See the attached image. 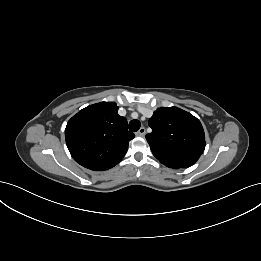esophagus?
<instances>
[{
    "label": "esophagus",
    "instance_id": "1",
    "mask_svg": "<svg viewBox=\"0 0 261 261\" xmlns=\"http://www.w3.org/2000/svg\"><path fill=\"white\" fill-rule=\"evenodd\" d=\"M145 133H146V129L144 127H141L136 134H137V136L143 137L145 135Z\"/></svg>",
    "mask_w": 261,
    "mask_h": 261
}]
</instances>
